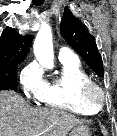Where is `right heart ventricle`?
Listing matches in <instances>:
<instances>
[{"label": "right heart ventricle", "instance_id": "e07e8e85", "mask_svg": "<svg viewBox=\"0 0 117 136\" xmlns=\"http://www.w3.org/2000/svg\"><path fill=\"white\" fill-rule=\"evenodd\" d=\"M61 73L47 83L42 98L44 105L71 112L76 115L90 116L99 110L87 105L81 97L82 86L91 81L78 60L61 61Z\"/></svg>", "mask_w": 117, "mask_h": 136}]
</instances>
